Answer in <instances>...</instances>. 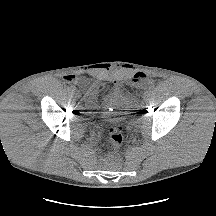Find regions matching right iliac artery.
<instances>
[{
	"label": "right iliac artery",
	"mask_w": 216,
	"mask_h": 216,
	"mask_svg": "<svg viewBox=\"0 0 216 216\" xmlns=\"http://www.w3.org/2000/svg\"><path fill=\"white\" fill-rule=\"evenodd\" d=\"M69 91L73 93L75 90H74L73 87H70V88H69Z\"/></svg>",
	"instance_id": "right-iliac-artery-1"
}]
</instances>
